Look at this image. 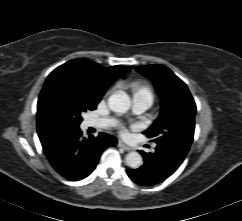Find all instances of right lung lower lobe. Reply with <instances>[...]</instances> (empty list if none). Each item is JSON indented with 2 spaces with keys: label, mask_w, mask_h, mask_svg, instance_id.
Returning a JSON list of instances; mask_svg holds the SVG:
<instances>
[{
  "label": "right lung lower lobe",
  "mask_w": 242,
  "mask_h": 221,
  "mask_svg": "<svg viewBox=\"0 0 242 221\" xmlns=\"http://www.w3.org/2000/svg\"><path fill=\"white\" fill-rule=\"evenodd\" d=\"M43 150L54 169L63 177L78 181L95 169L101 153L115 146V137L100 133L85 139L79 128L58 129L40 138Z\"/></svg>",
  "instance_id": "98d812e1"
}]
</instances>
